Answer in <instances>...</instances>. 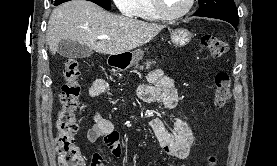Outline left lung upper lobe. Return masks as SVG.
I'll list each match as a JSON object with an SVG mask.
<instances>
[{
  "label": "left lung upper lobe",
  "mask_w": 277,
  "mask_h": 166,
  "mask_svg": "<svg viewBox=\"0 0 277 166\" xmlns=\"http://www.w3.org/2000/svg\"><path fill=\"white\" fill-rule=\"evenodd\" d=\"M200 8L194 16L222 19L238 23L239 17L233 0H198Z\"/></svg>",
  "instance_id": "left-lung-upper-lobe-1"
}]
</instances>
